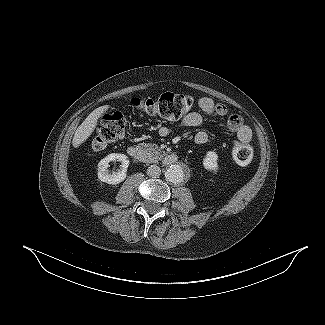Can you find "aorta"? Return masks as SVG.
I'll return each mask as SVG.
<instances>
[{
    "instance_id": "aorta-1",
    "label": "aorta",
    "mask_w": 325,
    "mask_h": 325,
    "mask_svg": "<svg viewBox=\"0 0 325 325\" xmlns=\"http://www.w3.org/2000/svg\"><path fill=\"white\" fill-rule=\"evenodd\" d=\"M165 177L172 183H180L184 180L185 172L182 166L174 164L166 170Z\"/></svg>"
}]
</instances>
